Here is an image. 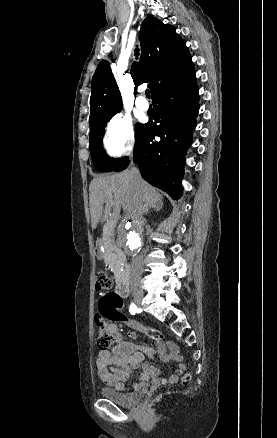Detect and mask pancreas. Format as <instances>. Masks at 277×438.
<instances>
[{
    "label": "pancreas",
    "mask_w": 277,
    "mask_h": 438,
    "mask_svg": "<svg viewBox=\"0 0 277 438\" xmlns=\"http://www.w3.org/2000/svg\"><path fill=\"white\" fill-rule=\"evenodd\" d=\"M114 238V231H104L103 235H99L96 244L100 247V253H103L104 264L111 270H120L122 267L121 254L116 251L117 247L113 243Z\"/></svg>",
    "instance_id": "pancreas-1"
}]
</instances>
